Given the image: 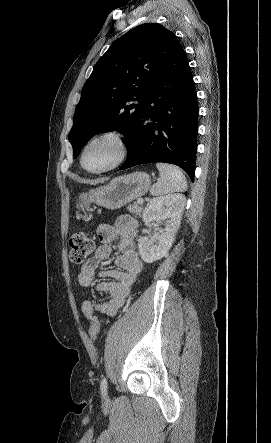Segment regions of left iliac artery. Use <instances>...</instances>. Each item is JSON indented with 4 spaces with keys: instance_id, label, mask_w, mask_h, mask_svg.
I'll return each instance as SVG.
<instances>
[{
    "instance_id": "1",
    "label": "left iliac artery",
    "mask_w": 271,
    "mask_h": 443,
    "mask_svg": "<svg viewBox=\"0 0 271 443\" xmlns=\"http://www.w3.org/2000/svg\"><path fill=\"white\" fill-rule=\"evenodd\" d=\"M100 389H101V393L102 395H106L107 394V380L106 378H103L100 384Z\"/></svg>"
}]
</instances>
